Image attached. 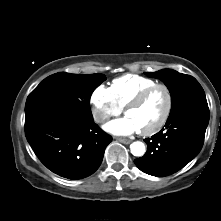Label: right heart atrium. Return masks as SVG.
Instances as JSON below:
<instances>
[{
    "instance_id": "obj_1",
    "label": "right heart atrium",
    "mask_w": 221,
    "mask_h": 221,
    "mask_svg": "<svg viewBox=\"0 0 221 221\" xmlns=\"http://www.w3.org/2000/svg\"><path fill=\"white\" fill-rule=\"evenodd\" d=\"M91 111L97 123H105L113 116H118L122 108L117 104L111 89L103 84L98 85L90 97Z\"/></svg>"
}]
</instances>
